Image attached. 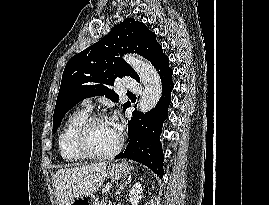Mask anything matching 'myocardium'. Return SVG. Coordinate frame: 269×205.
Returning a JSON list of instances; mask_svg holds the SVG:
<instances>
[{"instance_id": "f54148a6", "label": "myocardium", "mask_w": 269, "mask_h": 205, "mask_svg": "<svg viewBox=\"0 0 269 205\" xmlns=\"http://www.w3.org/2000/svg\"><path fill=\"white\" fill-rule=\"evenodd\" d=\"M107 119L103 114H94L88 116L86 120L79 126L75 135V146L78 152L84 157L93 160L109 159L117 155L123 146V137L119 135L116 146L106 153H95L88 145V134L91 127L100 120Z\"/></svg>"}]
</instances>
